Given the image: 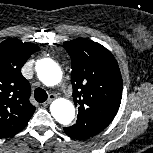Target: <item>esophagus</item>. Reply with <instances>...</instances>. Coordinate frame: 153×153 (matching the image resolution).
Returning a JSON list of instances; mask_svg holds the SVG:
<instances>
[{
  "label": "esophagus",
  "mask_w": 153,
  "mask_h": 153,
  "mask_svg": "<svg viewBox=\"0 0 153 153\" xmlns=\"http://www.w3.org/2000/svg\"><path fill=\"white\" fill-rule=\"evenodd\" d=\"M55 99V95L54 94H50L47 101H45L43 103L44 106H48L53 100Z\"/></svg>",
  "instance_id": "1"
}]
</instances>
